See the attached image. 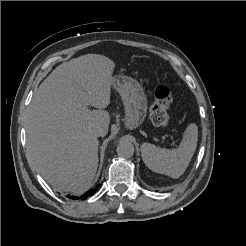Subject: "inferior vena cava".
Returning a JSON list of instances; mask_svg holds the SVG:
<instances>
[{
    "label": "inferior vena cava",
    "instance_id": "602c4592",
    "mask_svg": "<svg viewBox=\"0 0 246 246\" xmlns=\"http://www.w3.org/2000/svg\"><path fill=\"white\" fill-rule=\"evenodd\" d=\"M102 132H103L102 128H96V129H94V131H93V133H94V135H95L96 137L102 136Z\"/></svg>",
    "mask_w": 246,
    "mask_h": 246
}]
</instances>
